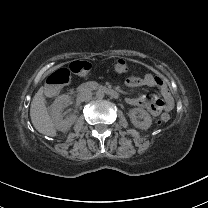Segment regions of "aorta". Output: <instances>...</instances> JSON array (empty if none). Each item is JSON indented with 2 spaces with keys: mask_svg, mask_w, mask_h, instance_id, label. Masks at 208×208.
<instances>
[{
  "mask_svg": "<svg viewBox=\"0 0 208 208\" xmlns=\"http://www.w3.org/2000/svg\"><path fill=\"white\" fill-rule=\"evenodd\" d=\"M96 97H97L98 99H103V98H104V92L101 91V90H98V91L96 92Z\"/></svg>",
  "mask_w": 208,
  "mask_h": 208,
  "instance_id": "aorta-1",
  "label": "aorta"
}]
</instances>
